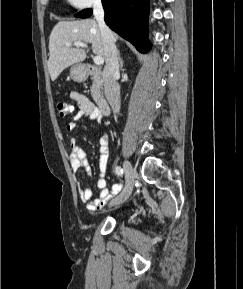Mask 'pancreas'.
<instances>
[{"label":"pancreas","mask_w":243,"mask_h":289,"mask_svg":"<svg viewBox=\"0 0 243 289\" xmlns=\"http://www.w3.org/2000/svg\"><path fill=\"white\" fill-rule=\"evenodd\" d=\"M103 81L99 74L94 75L91 87V96L95 102H99L103 97Z\"/></svg>","instance_id":"pancreas-1"}]
</instances>
